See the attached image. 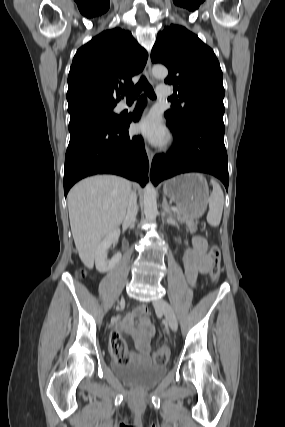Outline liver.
I'll return each instance as SVG.
<instances>
[{"label": "liver", "mask_w": 285, "mask_h": 427, "mask_svg": "<svg viewBox=\"0 0 285 427\" xmlns=\"http://www.w3.org/2000/svg\"><path fill=\"white\" fill-rule=\"evenodd\" d=\"M131 194L128 180L111 175L86 178L68 193L70 226L79 257L92 268L101 240L125 218Z\"/></svg>", "instance_id": "liver-1"}]
</instances>
